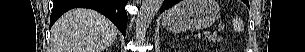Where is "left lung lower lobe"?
Listing matches in <instances>:
<instances>
[{
	"mask_svg": "<svg viewBox=\"0 0 305 52\" xmlns=\"http://www.w3.org/2000/svg\"><path fill=\"white\" fill-rule=\"evenodd\" d=\"M180 0H164L162 7L160 9V12L162 13L163 11H165L166 9L172 7L173 5H175L176 3H178Z\"/></svg>",
	"mask_w": 305,
	"mask_h": 52,
	"instance_id": "1",
	"label": "left lung lower lobe"
}]
</instances>
